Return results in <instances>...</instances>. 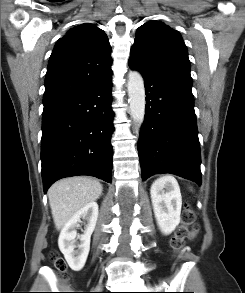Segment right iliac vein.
<instances>
[{"label":"right iliac vein","instance_id":"1","mask_svg":"<svg viewBox=\"0 0 245 293\" xmlns=\"http://www.w3.org/2000/svg\"><path fill=\"white\" fill-rule=\"evenodd\" d=\"M97 288H98V289H101V285H99Z\"/></svg>","mask_w":245,"mask_h":293}]
</instances>
